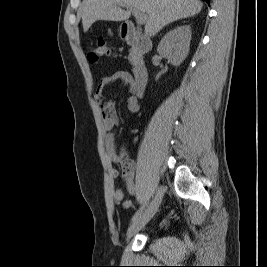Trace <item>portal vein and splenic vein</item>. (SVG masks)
Here are the masks:
<instances>
[{"label":"portal vein and splenic vein","instance_id":"18ae733b","mask_svg":"<svg viewBox=\"0 0 267 267\" xmlns=\"http://www.w3.org/2000/svg\"><path fill=\"white\" fill-rule=\"evenodd\" d=\"M118 5L121 7H125V4H123V3H118ZM131 11H132L134 17L137 19L138 23H140V24L145 23L147 17L144 13L138 11L137 9H132Z\"/></svg>","mask_w":267,"mask_h":267}]
</instances>
